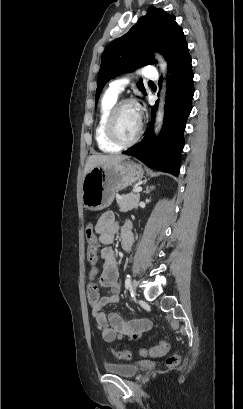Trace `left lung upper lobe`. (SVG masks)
Returning a JSON list of instances; mask_svg holds the SVG:
<instances>
[{
	"label": "left lung upper lobe",
	"instance_id": "1",
	"mask_svg": "<svg viewBox=\"0 0 243 409\" xmlns=\"http://www.w3.org/2000/svg\"><path fill=\"white\" fill-rule=\"evenodd\" d=\"M185 43L183 30L175 22V16L163 9L150 7L147 14L140 17L125 35L110 42L105 48L98 74L96 103L110 79L155 63L151 50L164 55L169 64ZM137 86L146 95L142 80Z\"/></svg>",
	"mask_w": 243,
	"mask_h": 409
}]
</instances>
